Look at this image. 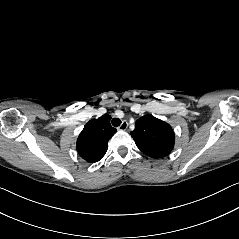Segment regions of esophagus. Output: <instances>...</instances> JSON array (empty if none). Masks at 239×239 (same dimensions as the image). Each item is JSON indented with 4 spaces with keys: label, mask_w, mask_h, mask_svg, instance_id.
Returning a JSON list of instances; mask_svg holds the SVG:
<instances>
[{
    "label": "esophagus",
    "mask_w": 239,
    "mask_h": 239,
    "mask_svg": "<svg viewBox=\"0 0 239 239\" xmlns=\"http://www.w3.org/2000/svg\"><path fill=\"white\" fill-rule=\"evenodd\" d=\"M127 127H128L127 121H123L121 123V125L118 127V129L121 130V131H125L127 129Z\"/></svg>",
    "instance_id": "1"
}]
</instances>
